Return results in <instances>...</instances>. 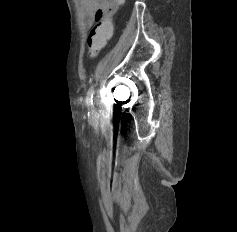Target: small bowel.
Masks as SVG:
<instances>
[{"label":"small bowel","mask_w":237,"mask_h":232,"mask_svg":"<svg viewBox=\"0 0 237 232\" xmlns=\"http://www.w3.org/2000/svg\"><path fill=\"white\" fill-rule=\"evenodd\" d=\"M84 12L89 22L102 21L110 15H114L119 0H82Z\"/></svg>","instance_id":"1"}]
</instances>
